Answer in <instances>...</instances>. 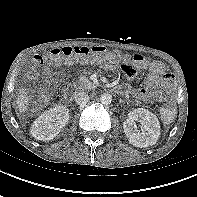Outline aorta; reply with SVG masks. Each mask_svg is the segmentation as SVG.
I'll return each instance as SVG.
<instances>
[{"instance_id": "762f6f07", "label": "aorta", "mask_w": 197, "mask_h": 197, "mask_svg": "<svg viewBox=\"0 0 197 197\" xmlns=\"http://www.w3.org/2000/svg\"><path fill=\"white\" fill-rule=\"evenodd\" d=\"M100 101L103 105H110L112 102V96L108 93H104L101 95Z\"/></svg>"}]
</instances>
